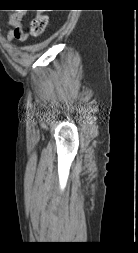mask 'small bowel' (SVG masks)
Here are the masks:
<instances>
[{
  "label": "small bowel",
  "mask_w": 138,
  "mask_h": 253,
  "mask_svg": "<svg viewBox=\"0 0 138 253\" xmlns=\"http://www.w3.org/2000/svg\"><path fill=\"white\" fill-rule=\"evenodd\" d=\"M22 13L15 12L9 17L10 30L7 33L9 41L17 40L24 42L28 39V34L24 31L22 26Z\"/></svg>",
  "instance_id": "c3829d8e"
}]
</instances>
